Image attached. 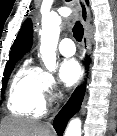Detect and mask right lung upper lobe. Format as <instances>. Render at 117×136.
I'll return each instance as SVG.
<instances>
[{"label": "right lung upper lobe", "instance_id": "obj_1", "mask_svg": "<svg viewBox=\"0 0 117 136\" xmlns=\"http://www.w3.org/2000/svg\"><path fill=\"white\" fill-rule=\"evenodd\" d=\"M86 3L88 4V0H86ZM32 38V23L30 19H27L14 41L9 60L22 58L31 49Z\"/></svg>", "mask_w": 117, "mask_h": 136}]
</instances>
